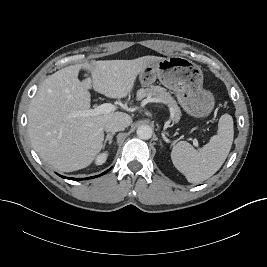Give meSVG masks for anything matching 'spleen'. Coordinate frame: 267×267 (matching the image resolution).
I'll use <instances>...</instances> for the list:
<instances>
[{
	"instance_id": "3e777b00",
	"label": "spleen",
	"mask_w": 267,
	"mask_h": 267,
	"mask_svg": "<svg viewBox=\"0 0 267 267\" xmlns=\"http://www.w3.org/2000/svg\"><path fill=\"white\" fill-rule=\"evenodd\" d=\"M233 137V119L224 114L219 119L217 134L202 149L195 150L188 142L181 141L172 149V162L188 182H202L221 168L230 152Z\"/></svg>"
}]
</instances>
